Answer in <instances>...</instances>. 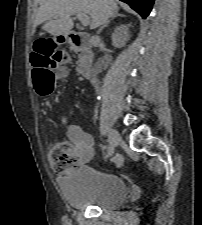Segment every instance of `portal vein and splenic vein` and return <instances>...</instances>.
Masks as SVG:
<instances>
[{
  "label": "portal vein and splenic vein",
  "instance_id": "obj_1",
  "mask_svg": "<svg viewBox=\"0 0 202 225\" xmlns=\"http://www.w3.org/2000/svg\"><path fill=\"white\" fill-rule=\"evenodd\" d=\"M76 18L80 20L83 26H87L90 24V17L84 13H77Z\"/></svg>",
  "mask_w": 202,
  "mask_h": 225
}]
</instances>
